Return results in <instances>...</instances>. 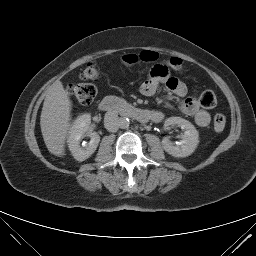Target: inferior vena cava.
Wrapping results in <instances>:
<instances>
[{"label":"inferior vena cava","mask_w":256,"mask_h":256,"mask_svg":"<svg viewBox=\"0 0 256 256\" xmlns=\"http://www.w3.org/2000/svg\"><path fill=\"white\" fill-rule=\"evenodd\" d=\"M104 126L109 132H116L120 127V118L114 112H108L104 117Z\"/></svg>","instance_id":"obj_1"}]
</instances>
